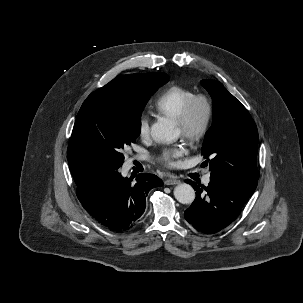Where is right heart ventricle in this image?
Here are the masks:
<instances>
[{
    "mask_svg": "<svg viewBox=\"0 0 303 303\" xmlns=\"http://www.w3.org/2000/svg\"><path fill=\"white\" fill-rule=\"evenodd\" d=\"M194 95L195 93L192 90L171 85L158 96L155 101V109L162 115L176 119Z\"/></svg>",
    "mask_w": 303,
    "mask_h": 303,
    "instance_id": "e07e8e85",
    "label": "right heart ventricle"
}]
</instances>
